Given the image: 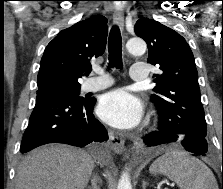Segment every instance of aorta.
Masks as SVG:
<instances>
[{"instance_id": "1", "label": "aorta", "mask_w": 223, "mask_h": 189, "mask_svg": "<svg viewBox=\"0 0 223 189\" xmlns=\"http://www.w3.org/2000/svg\"><path fill=\"white\" fill-rule=\"evenodd\" d=\"M126 48L132 55H142L145 53L147 46L143 39L135 37L127 41ZM117 189H132L128 172H122Z\"/></svg>"}]
</instances>
